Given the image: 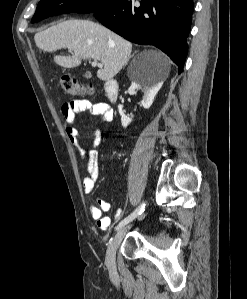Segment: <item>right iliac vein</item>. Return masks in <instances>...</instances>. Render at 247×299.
<instances>
[{"instance_id":"obj_1","label":"right iliac vein","mask_w":247,"mask_h":299,"mask_svg":"<svg viewBox=\"0 0 247 299\" xmlns=\"http://www.w3.org/2000/svg\"><path fill=\"white\" fill-rule=\"evenodd\" d=\"M131 225H127L123 228H121L116 235L114 236L113 240L108 246L107 252H106V262L110 268H114L115 266V256L116 251L123 240L124 236L126 235L127 231L130 229Z\"/></svg>"}]
</instances>
